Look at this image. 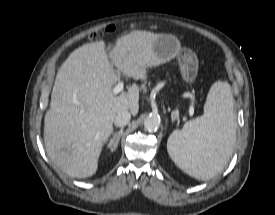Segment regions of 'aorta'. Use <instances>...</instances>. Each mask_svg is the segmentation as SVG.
Here are the masks:
<instances>
[{"label": "aorta", "instance_id": "aorta-1", "mask_svg": "<svg viewBox=\"0 0 275 215\" xmlns=\"http://www.w3.org/2000/svg\"><path fill=\"white\" fill-rule=\"evenodd\" d=\"M160 127V117L157 114H150L144 120V128L147 131H156Z\"/></svg>", "mask_w": 275, "mask_h": 215}]
</instances>
